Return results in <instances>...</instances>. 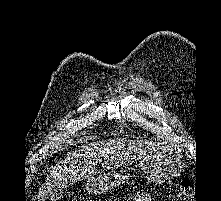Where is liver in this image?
I'll use <instances>...</instances> for the list:
<instances>
[{"label":"liver","instance_id":"1","mask_svg":"<svg viewBox=\"0 0 221 201\" xmlns=\"http://www.w3.org/2000/svg\"><path fill=\"white\" fill-rule=\"evenodd\" d=\"M160 148L144 141H132L127 138H113L82 146L68 154L52 170L45 185L39 192L40 200L45 199L55 189L68 187L82 179L98 174L97 162L103 169H113L129 165Z\"/></svg>","mask_w":221,"mask_h":201}]
</instances>
